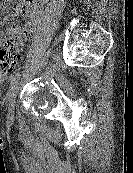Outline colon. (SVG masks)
I'll return each instance as SVG.
<instances>
[{
    "instance_id": "1",
    "label": "colon",
    "mask_w": 133,
    "mask_h": 173,
    "mask_svg": "<svg viewBox=\"0 0 133 173\" xmlns=\"http://www.w3.org/2000/svg\"><path fill=\"white\" fill-rule=\"evenodd\" d=\"M22 43L23 38L15 35L5 46L0 47V79L10 74L22 59Z\"/></svg>"
}]
</instances>
